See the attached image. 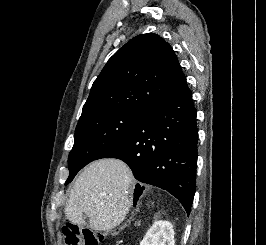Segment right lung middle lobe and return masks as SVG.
<instances>
[{"label":"right lung middle lobe","mask_w":266,"mask_h":245,"mask_svg":"<svg viewBox=\"0 0 266 245\" xmlns=\"http://www.w3.org/2000/svg\"><path fill=\"white\" fill-rule=\"evenodd\" d=\"M145 112L120 109L95 111L81 117L75 130V143L69 154L70 183L77 172L121 141Z\"/></svg>","instance_id":"right-lung-middle-lobe-1"}]
</instances>
